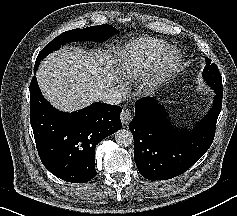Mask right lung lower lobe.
<instances>
[{"mask_svg": "<svg viewBox=\"0 0 237 216\" xmlns=\"http://www.w3.org/2000/svg\"><path fill=\"white\" fill-rule=\"evenodd\" d=\"M36 70L34 67V73ZM29 88L30 121L43 165L64 181L88 182L97 175L96 145L121 129L122 108L96 102L80 111L64 113L45 100L35 76Z\"/></svg>", "mask_w": 237, "mask_h": 216, "instance_id": "1", "label": "right lung lower lobe"}]
</instances>
